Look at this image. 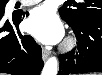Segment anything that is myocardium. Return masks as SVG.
<instances>
[{
    "instance_id": "obj_1",
    "label": "myocardium",
    "mask_w": 102,
    "mask_h": 75,
    "mask_svg": "<svg viewBox=\"0 0 102 75\" xmlns=\"http://www.w3.org/2000/svg\"><path fill=\"white\" fill-rule=\"evenodd\" d=\"M75 44H76V40H75V38L74 37H72V36H69L66 40H65V42H64V44H63V50L64 51H69V50H71L74 46H75Z\"/></svg>"
}]
</instances>
